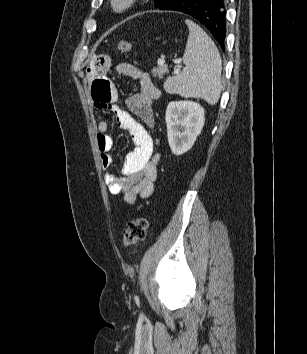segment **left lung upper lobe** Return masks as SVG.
I'll list each match as a JSON object with an SVG mask.
<instances>
[{
  "instance_id": "obj_1",
  "label": "left lung upper lobe",
  "mask_w": 307,
  "mask_h": 354,
  "mask_svg": "<svg viewBox=\"0 0 307 354\" xmlns=\"http://www.w3.org/2000/svg\"><path fill=\"white\" fill-rule=\"evenodd\" d=\"M170 0H154L155 6L158 8L163 7L166 3H168Z\"/></svg>"
}]
</instances>
